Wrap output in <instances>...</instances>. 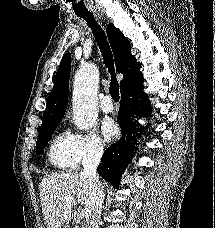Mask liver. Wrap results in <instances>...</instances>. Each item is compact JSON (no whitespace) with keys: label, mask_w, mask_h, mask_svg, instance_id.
I'll return each mask as SVG.
<instances>
[{"label":"liver","mask_w":215,"mask_h":228,"mask_svg":"<svg viewBox=\"0 0 215 228\" xmlns=\"http://www.w3.org/2000/svg\"><path fill=\"white\" fill-rule=\"evenodd\" d=\"M73 198L76 204L84 206L88 218L93 214L92 192L87 178L80 174H52L44 176L40 184V202L46 228H66L75 216L72 208L65 204ZM74 228H79L75 224Z\"/></svg>","instance_id":"liver-1"}]
</instances>
